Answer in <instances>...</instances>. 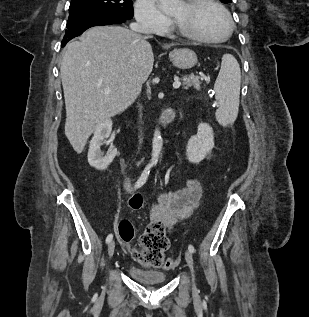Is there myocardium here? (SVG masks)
I'll return each mask as SVG.
<instances>
[{
  "mask_svg": "<svg viewBox=\"0 0 309 317\" xmlns=\"http://www.w3.org/2000/svg\"><path fill=\"white\" fill-rule=\"evenodd\" d=\"M184 4H185L186 8L190 11H194V10L204 6V5H211V6L216 7L224 15V17L227 21L228 28H227L226 34L223 37L207 38V37L196 35L194 33L187 31L173 18L174 29H175V32L179 36H181L187 40H190V41L204 43V44L223 43L231 37V35L234 31V22H233V19L231 17V14L229 13V11L220 2H218L217 0H186L184 2Z\"/></svg>",
  "mask_w": 309,
  "mask_h": 317,
  "instance_id": "f54148a6",
  "label": "myocardium"
}]
</instances>
